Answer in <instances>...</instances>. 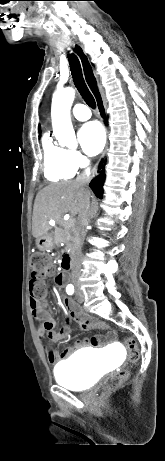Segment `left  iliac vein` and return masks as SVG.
Listing matches in <instances>:
<instances>
[{
	"label": "left iliac vein",
	"instance_id": "4c4485c4",
	"mask_svg": "<svg viewBox=\"0 0 165 461\" xmlns=\"http://www.w3.org/2000/svg\"><path fill=\"white\" fill-rule=\"evenodd\" d=\"M77 301H78L79 303H82V302H83V297H82V295L79 294V293L77 294Z\"/></svg>",
	"mask_w": 165,
	"mask_h": 461
}]
</instances>
